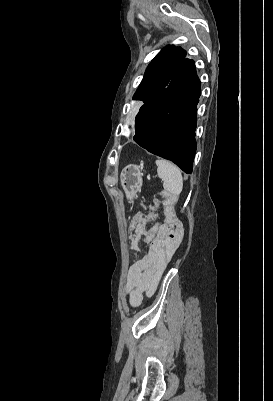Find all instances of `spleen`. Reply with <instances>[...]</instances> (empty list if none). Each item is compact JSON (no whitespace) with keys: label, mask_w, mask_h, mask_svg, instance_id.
Listing matches in <instances>:
<instances>
[{"label":"spleen","mask_w":273,"mask_h":401,"mask_svg":"<svg viewBox=\"0 0 273 401\" xmlns=\"http://www.w3.org/2000/svg\"><path fill=\"white\" fill-rule=\"evenodd\" d=\"M156 164L158 166V176L162 178L165 190H168L174 196H179L183 188V176L180 168L175 166L173 162H169V160H163V158L156 160Z\"/></svg>","instance_id":"spleen-1"}]
</instances>
